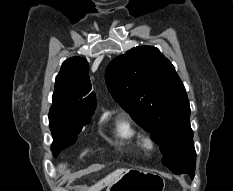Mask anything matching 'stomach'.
<instances>
[{"mask_svg": "<svg viewBox=\"0 0 233 191\" xmlns=\"http://www.w3.org/2000/svg\"><path fill=\"white\" fill-rule=\"evenodd\" d=\"M163 178L155 173L135 168L125 169L106 191H164Z\"/></svg>", "mask_w": 233, "mask_h": 191, "instance_id": "obj_1", "label": "stomach"}]
</instances>
